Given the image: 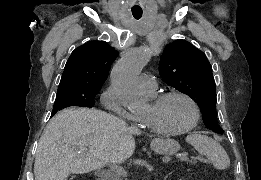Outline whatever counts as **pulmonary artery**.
I'll use <instances>...</instances> for the list:
<instances>
[{
    "label": "pulmonary artery",
    "instance_id": "1",
    "mask_svg": "<svg viewBox=\"0 0 261 180\" xmlns=\"http://www.w3.org/2000/svg\"><path fill=\"white\" fill-rule=\"evenodd\" d=\"M139 84L146 92H152L157 87V81L154 75L144 72L139 77Z\"/></svg>",
    "mask_w": 261,
    "mask_h": 180
}]
</instances>
